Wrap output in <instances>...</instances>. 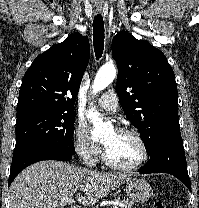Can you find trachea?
<instances>
[{
  "instance_id": "trachea-1",
  "label": "trachea",
  "mask_w": 199,
  "mask_h": 208,
  "mask_svg": "<svg viewBox=\"0 0 199 208\" xmlns=\"http://www.w3.org/2000/svg\"><path fill=\"white\" fill-rule=\"evenodd\" d=\"M104 22L100 14L96 15L93 20V46L97 59L102 57L104 50Z\"/></svg>"
}]
</instances>
